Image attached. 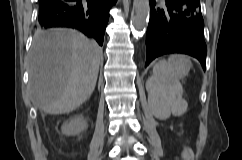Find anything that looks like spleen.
<instances>
[{
  "mask_svg": "<svg viewBox=\"0 0 242 160\" xmlns=\"http://www.w3.org/2000/svg\"><path fill=\"white\" fill-rule=\"evenodd\" d=\"M185 59L183 55H172L167 61L157 62L152 77L147 81V89L151 95L157 96V103L173 112L178 103L176 95L182 90L179 79L185 75L180 73V65Z\"/></svg>",
  "mask_w": 242,
  "mask_h": 160,
  "instance_id": "3e777b00",
  "label": "spleen"
}]
</instances>
